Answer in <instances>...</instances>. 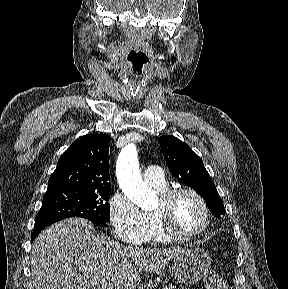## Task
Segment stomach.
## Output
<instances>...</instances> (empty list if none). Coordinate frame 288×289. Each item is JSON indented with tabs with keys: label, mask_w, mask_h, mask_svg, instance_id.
Returning <instances> with one entry per match:
<instances>
[{
	"label": "stomach",
	"mask_w": 288,
	"mask_h": 289,
	"mask_svg": "<svg viewBox=\"0 0 288 289\" xmlns=\"http://www.w3.org/2000/svg\"><path fill=\"white\" fill-rule=\"evenodd\" d=\"M211 265V258L201 248H185L173 259L172 272L177 282L194 284L200 281Z\"/></svg>",
	"instance_id": "0dacf381"
}]
</instances>
